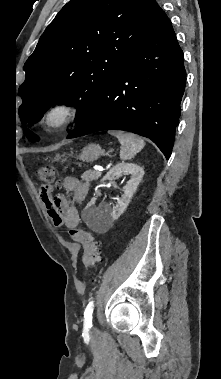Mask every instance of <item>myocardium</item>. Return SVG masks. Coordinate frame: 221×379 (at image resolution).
<instances>
[{
    "label": "myocardium",
    "mask_w": 221,
    "mask_h": 379,
    "mask_svg": "<svg viewBox=\"0 0 221 379\" xmlns=\"http://www.w3.org/2000/svg\"><path fill=\"white\" fill-rule=\"evenodd\" d=\"M78 110L68 101H56L47 106L40 119L42 128L54 132L68 126L77 117Z\"/></svg>",
    "instance_id": "1"
}]
</instances>
